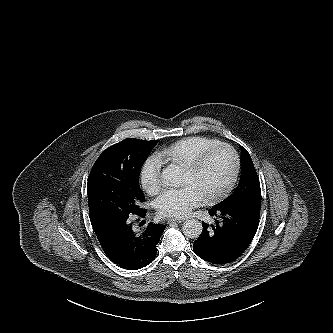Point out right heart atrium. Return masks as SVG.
Returning a JSON list of instances; mask_svg holds the SVG:
<instances>
[{
  "instance_id": "obj_1",
  "label": "right heart atrium",
  "mask_w": 333,
  "mask_h": 333,
  "mask_svg": "<svg viewBox=\"0 0 333 333\" xmlns=\"http://www.w3.org/2000/svg\"><path fill=\"white\" fill-rule=\"evenodd\" d=\"M163 159L159 154L149 155L141 165L139 182L142 189L149 195L157 194L162 188L161 171Z\"/></svg>"
}]
</instances>
